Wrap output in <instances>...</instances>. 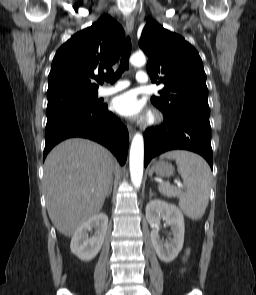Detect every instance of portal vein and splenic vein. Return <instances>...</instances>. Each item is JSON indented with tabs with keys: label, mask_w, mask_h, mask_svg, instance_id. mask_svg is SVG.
<instances>
[{
	"label": "portal vein and splenic vein",
	"mask_w": 256,
	"mask_h": 295,
	"mask_svg": "<svg viewBox=\"0 0 256 295\" xmlns=\"http://www.w3.org/2000/svg\"><path fill=\"white\" fill-rule=\"evenodd\" d=\"M179 187H181L182 185L180 183H177Z\"/></svg>",
	"instance_id": "1"
}]
</instances>
